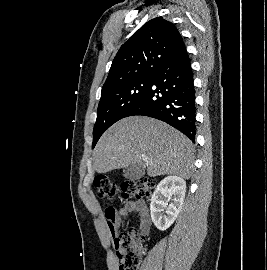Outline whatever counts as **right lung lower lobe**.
<instances>
[{
  "label": "right lung lower lobe",
  "mask_w": 267,
  "mask_h": 270,
  "mask_svg": "<svg viewBox=\"0 0 267 270\" xmlns=\"http://www.w3.org/2000/svg\"><path fill=\"white\" fill-rule=\"evenodd\" d=\"M134 115L162 120L195 141V91L185 45L156 70L149 89L125 117Z\"/></svg>",
  "instance_id": "1"
}]
</instances>
